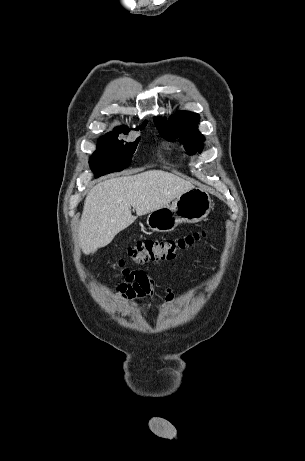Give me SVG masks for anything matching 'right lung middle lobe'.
I'll return each instance as SVG.
<instances>
[{
	"label": "right lung middle lobe",
	"mask_w": 305,
	"mask_h": 461,
	"mask_svg": "<svg viewBox=\"0 0 305 461\" xmlns=\"http://www.w3.org/2000/svg\"><path fill=\"white\" fill-rule=\"evenodd\" d=\"M146 123L142 124L136 130H142ZM129 129L116 128L113 132L106 134L98 140L97 150L90 158L91 169L99 175L110 172L121 171L130 165L132 155L136 150L138 140L135 142L124 143L118 140L119 133L127 134Z\"/></svg>",
	"instance_id": "right-lung-middle-lobe-1"
}]
</instances>
